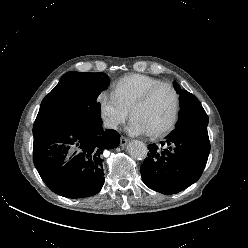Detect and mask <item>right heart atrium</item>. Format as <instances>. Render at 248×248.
Returning a JSON list of instances; mask_svg holds the SVG:
<instances>
[{"label": "right heart atrium", "mask_w": 248, "mask_h": 248, "mask_svg": "<svg viewBox=\"0 0 248 248\" xmlns=\"http://www.w3.org/2000/svg\"><path fill=\"white\" fill-rule=\"evenodd\" d=\"M98 103L101 115L111 129L119 128L129 117V111L119 103L113 93L102 92L98 97Z\"/></svg>", "instance_id": "d8ad5b80"}]
</instances>
